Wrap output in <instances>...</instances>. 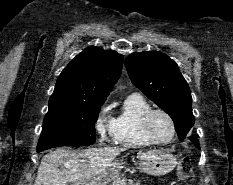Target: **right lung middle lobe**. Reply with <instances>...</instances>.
I'll list each match as a JSON object with an SVG mask.
<instances>
[{
  "label": "right lung middle lobe",
  "mask_w": 233,
  "mask_h": 185,
  "mask_svg": "<svg viewBox=\"0 0 233 185\" xmlns=\"http://www.w3.org/2000/svg\"><path fill=\"white\" fill-rule=\"evenodd\" d=\"M104 101L51 96L37 152L57 146L93 144L96 139L94 123Z\"/></svg>",
  "instance_id": "dd1d6c3e"
}]
</instances>
